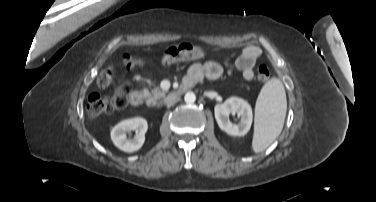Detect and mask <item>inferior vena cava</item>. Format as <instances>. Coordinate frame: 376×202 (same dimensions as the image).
Returning <instances> with one entry per match:
<instances>
[{
  "instance_id": "1",
  "label": "inferior vena cava",
  "mask_w": 376,
  "mask_h": 202,
  "mask_svg": "<svg viewBox=\"0 0 376 202\" xmlns=\"http://www.w3.org/2000/svg\"><path fill=\"white\" fill-rule=\"evenodd\" d=\"M174 103H175V101H170V102L167 104V106L169 107V106L173 105Z\"/></svg>"
}]
</instances>
